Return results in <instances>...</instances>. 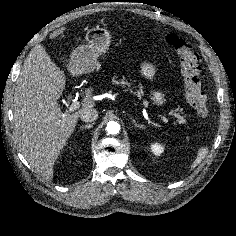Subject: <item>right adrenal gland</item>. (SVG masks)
<instances>
[{
  "label": "right adrenal gland",
  "mask_w": 236,
  "mask_h": 236,
  "mask_svg": "<svg viewBox=\"0 0 236 236\" xmlns=\"http://www.w3.org/2000/svg\"><path fill=\"white\" fill-rule=\"evenodd\" d=\"M93 125H94V122L91 124L82 125L80 128H81V130L90 129L93 127Z\"/></svg>",
  "instance_id": "1"
}]
</instances>
